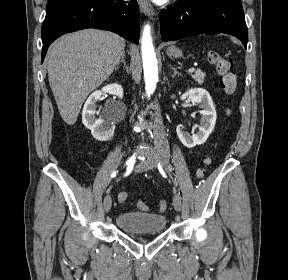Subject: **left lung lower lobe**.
Here are the masks:
<instances>
[{
    "label": "left lung lower lobe",
    "instance_id": "0a47b994",
    "mask_svg": "<svg viewBox=\"0 0 288 280\" xmlns=\"http://www.w3.org/2000/svg\"><path fill=\"white\" fill-rule=\"evenodd\" d=\"M164 41L198 34L225 33L247 47L248 31L244 12L218 0H181L159 14Z\"/></svg>",
    "mask_w": 288,
    "mask_h": 280
}]
</instances>
